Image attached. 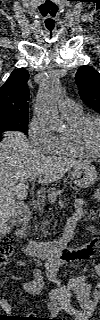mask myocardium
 <instances>
[{
  "instance_id": "f54148a6",
  "label": "myocardium",
  "mask_w": 100,
  "mask_h": 320,
  "mask_svg": "<svg viewBox=\"0 0 100 320\" xmlns=\"http://www.w3.org/2000/svg\"><path fill=\"white\" fill-rule=\"evenodd\" d=\"M96 123L98 125L99 128V133H100V119L96 116H83L78 123L73 126L70 130V134L71 137L73 139L74 142H76L80 147H82L84 150H86L88 153H90V155H94V156H98L100 155V144L97 147V149L93 148L92 146H90L83 137V133L85 130V127L89 124V123Z\"/></svg>"
}]
</instances>
